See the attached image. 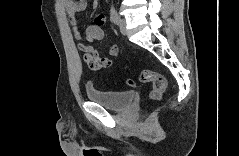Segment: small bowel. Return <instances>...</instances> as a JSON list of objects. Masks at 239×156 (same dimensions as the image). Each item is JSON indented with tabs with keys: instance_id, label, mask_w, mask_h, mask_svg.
Wrapping results in <instances>:
<instances>
[{
	"instance_id": "c3829d8e",
	"label": "small bowel",
	"mask_w": 239,
	"mask_h": 156,
	"mask_svg": "<svg viewBox=\"0 0 239 156\" xmlns=\"http://www.w3.org/2000/svg\"><path fill=\"white\" fill-rule=\"evenodd\" d=\"M63 6L68 15V20L72 26L73 36L79 41L82 38V31L78 24L77 15L86 10L87 1L65 0L63 1ZM105 21L106 19L103 15L97 16L94 20V24L89 25L85 29V40L88 44H78V49L84 53V62L94 71L111 67L119 54L118 46L115 44L110 46L107 56H101L99 51L91 45V43L94 41L103 40L105 33L102 26L104 25Z\"/></svg>"
}]
</instances>
